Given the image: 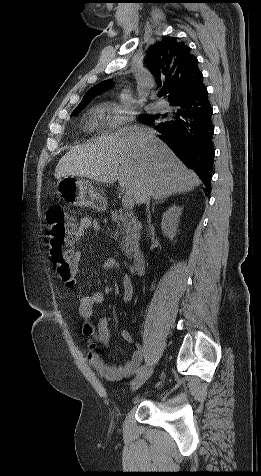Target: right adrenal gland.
Masks as SVG:
<instances>
[{
	"label": "right adrenal gland",
	"instance_id": "right-adrenal-gland-1",
	"mask_svg": "<svg viewBox=\"0 0 261 476\" xmlns=\"http://www.w3.org/2000/svg\"><path fill=\"white\" fill-rule=\"evenodd\" d=\"M164 200H165V199H161V200L156 201L155 203H153V209H152V211L154 212L155 204H157V203H162Z\"/></svg>",
	"mask_w": 261,
	"mask_h": 476
}]
</instances>
